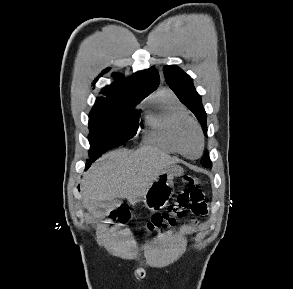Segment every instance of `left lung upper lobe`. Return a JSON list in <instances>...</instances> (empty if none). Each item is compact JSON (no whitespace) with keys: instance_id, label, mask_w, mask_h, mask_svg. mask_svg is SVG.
Returning a JSON list of instances; mask_svg holds the SVG:
<instances>
[{"instance_id":"left-lung-upper-lobe-1","label":"left lung upper lobe","mask_w":293,"mask_h":289,"mask_svg":"<svg viewBox=\"0 0 293 289\" xmlns=\"http://www.w3.org/2000/svg\"><path fill=\"white\" fill-rule=\"evenodd\" d=\"M163 72L166 83L174 91L180 101L195 114L205 135H207L206 112L203 108L201 97L193 86L191 77L175 65L164 66ZM201 164L206 168L211 167L212 163L207 152L202 157Z\"/></svg>"}]
</instances>
